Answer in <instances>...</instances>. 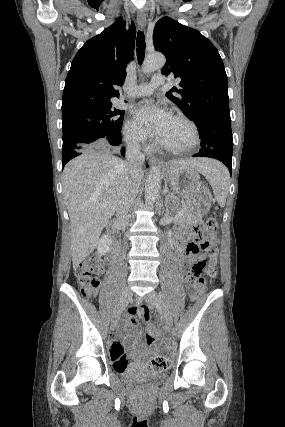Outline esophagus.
Segmentation results:
<instances>
[{
	"label": "esophagus",
	"mask_w": 285,
	"mask_h": 427,
	"mask_svg": "<svg viewBox=\"0 0 285 427\" xmlns=\"http://www.w3.org/2000/svg\"><path fill=\"white\" fill-rule=\"evenodd\" d=\"M137 20H138L139 26L144 29L146 27V22H147L146 14H145L144 10L141 9L138 11ZM156 163H162V162L155 157H149V164L151 166L156 164Z\"/></svg>",
	"instance_id": "34e87169"
}]
</instances>
